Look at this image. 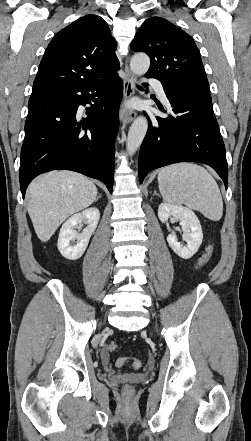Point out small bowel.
<instances>
[{
	"label": "small bowel",
	"mask_w": 251,
	"mask_h": 441,
	"mask_svg": "<svg viewBox=\"0 0 251 441\" xmlns=\"http://www.w3.org/2000/svg\"><path fill=\"white\" fill-rule=\"evenodd\" d=\"M102 358H103V360H105V361L108 359V354H107L106 351H103V352H102Z\"/></svg>",
	"instance_id": "c3829d8e"
}]
</instances>
